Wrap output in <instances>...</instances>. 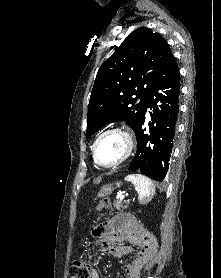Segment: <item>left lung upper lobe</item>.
Wrapping results in <instances>:
<instances>
[{"mask_svg":"<svg viewBox=\"0 0 221 278\" xmlns=\"http://www.w3.org/2000/svg\"><path fill=\"white\" fill-rule=\"evenodd\" d=\"M172 57L160 34L147 28L130 33L99 68L89 101L86 136L118 121H125L135 132L146 96Z\"/></svg>","mask_w":221,"mask_h":278,"instance_id":"1","label":"left lung upper lobe"}]
</instances>
